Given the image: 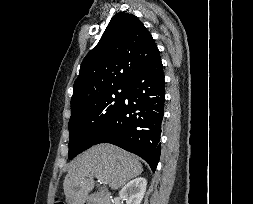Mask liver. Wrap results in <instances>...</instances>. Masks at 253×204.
<instances>
[{
    "label": "liver",
    "instance_id": "6515ba94",
    "mask_svg": "<svg viewBox=\"0 0 253 204\" xmlns=\"http://www.w3.org/2000/svg\"><path fill=\"white\" fill-rule=\"evenodd\" d=\"M143 171L139 159L111 144H99L77 156L64 179L68 204H84L99 177L111 189H119Z\"/></svg>",
    "mask_w": 253,
    "mask_h": 204
}]
</instances>
